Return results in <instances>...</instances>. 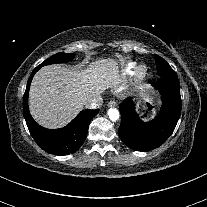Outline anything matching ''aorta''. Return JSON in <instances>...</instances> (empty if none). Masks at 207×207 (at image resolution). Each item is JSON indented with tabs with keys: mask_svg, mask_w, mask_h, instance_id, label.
Wrapping results in <instances>:
<instances>
[{
	"mask_svg": "<svg viewBox=\"0 0 207 207\" xmlns=\"http://www.w3.org/2000/svg\"><path fill=\"white\" fill-rule=\"evenodd\" d=\"M107 114L112 121H116L119 118V111L116 108H110Z\"/></svg>",
	"mask_w": 207,
	"mask_h": 207,
	"instance_id": "aorta-1",
	"label": "aorta"
}]
</instances>
